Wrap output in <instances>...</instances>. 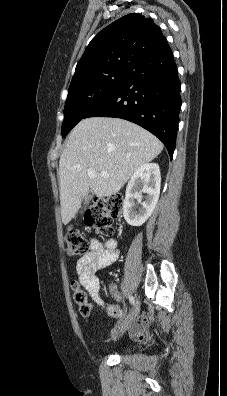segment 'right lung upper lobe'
<instances>
[{"mask_svg": "<svg viewBox=\"0 0 227 396\" xmlns=\"http://www.w3.org/2000/svg\"><path fill=\"white\" fill-rule=\"evenodd\" d=\"M168 45L151 18L128 14L100 31L76 66L70 86L110 69L133 70Z\"/></svg>", "mask_w": 227, "mask_h": 396, "instance_id": "obj_1", "label": "right lung upper lobe"}]
</instances>
